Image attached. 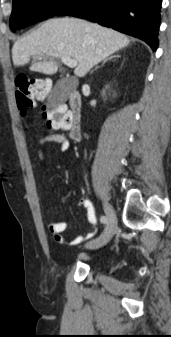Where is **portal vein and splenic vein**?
<instances>
[{"mask_svg": "<svg viewBox=\"0 0 171 337\" xmlns=\"http://www.w3.org/2000/svg\"><path fill=\"white\" fill-rule=\"evenodd\" d=\"M61 61L69 68H75L77 66V61L67 56L61 57Z\"/></svg>", "mask_w": 171, "mask_h": 337, "instance_id": "obj_1", "label": "portal vein and splenic vein"}]
</instances>
